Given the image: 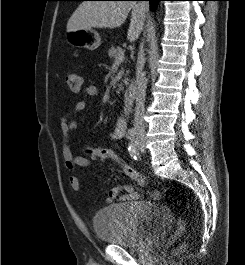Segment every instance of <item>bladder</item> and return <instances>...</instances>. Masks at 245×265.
<instances>
[{
	"mask_svg": "<svg viewBox=\"0 0 245 265\" xmlns=\"http://www.w3.org/2000/svg\"><path fill=\"white\" fill-rule=\"evenodd\" d=\"M170 224L167 209L147 200L112 203L92 219L93 230L100 240L135 249L164 235Z\"/></svg>",
	"mask_w": 245,
	"mask_h": 265,
	"instance_id": "obj_1",
	"label": "bladder"
}]
</instances>
